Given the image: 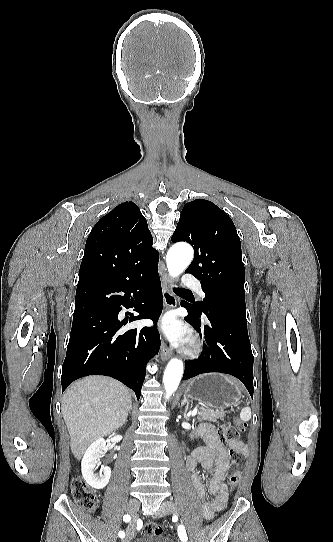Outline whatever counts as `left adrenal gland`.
<instances>
[{
	"mask_svg": "<svg viewBox=\"0 0 333 542\" xmlns=\"http://www.w3.org/2000/svg\"><path fill=\"white\" fill-rule=\"evenodd\" d=\"M185 404H186V406H185ZM181 406H185V412H184V414H183V418H185V420H189V418H188V416H187V412H188V410H189L190 402H188V400H187L185 394H184V398H183V400H182V402H181Z\"/></svg>",
	"mask_w": 333,
	"mask_h": 542,
	"instance_id": "obj_1",
	"label": "left adrenal gland"
}]
</instances>
